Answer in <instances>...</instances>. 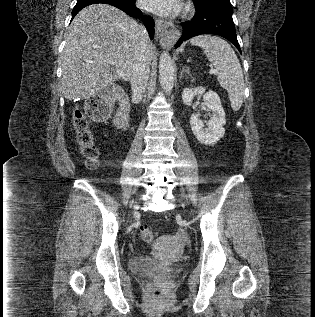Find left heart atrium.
Wrapping results in <instances>:
<instances>
[{
    "instance_id": "1",
    "label": "left heart atrium",
    "mask_w": 315,
    "mask_h": 317,
    "mask_svg": "<svg viewBox=\"0 0 315 317\" xmlns=\"http://www.w3.org/2000/svg\"><path fill=\"white\" fill-rule=\"evenodd\" d=\"M142 8L162 16L175 14L180 4L178 0H139Z\"/></svg>"
}]
</instances>
